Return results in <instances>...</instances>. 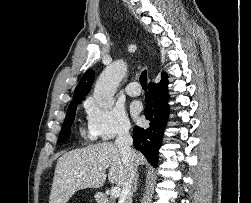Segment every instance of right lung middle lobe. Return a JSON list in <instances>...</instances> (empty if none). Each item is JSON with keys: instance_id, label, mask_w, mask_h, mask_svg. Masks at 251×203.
I'll use <instances>...</instances> for the list:
<instances>
[{"instance_id": "dd1d6c3e", "label": "right lung middle lobe", "mask_w": 251, "mask_h": 203, "mask_svg": "<svg viewBox=\"0 0 251 203\" xmlns=\"http://www.w3.org/2000/svg\"><path fill=\"white\" fill-rule=\"evenodd\" d=\"M80 102H76L73 104H70L68 107V112L64 121V124L61 129L60 136L58 138V143H62L68 140L69 134H70V128L74 121L75 113H76V107Z\"/></svg>"}]
</instances>
